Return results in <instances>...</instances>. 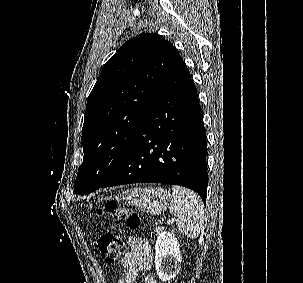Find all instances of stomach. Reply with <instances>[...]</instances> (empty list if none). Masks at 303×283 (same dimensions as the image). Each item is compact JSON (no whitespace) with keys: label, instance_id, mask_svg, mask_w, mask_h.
Returning <instances> with one entry per match:
<instances>
[{"label":"stomach","instance_id":"stomach-1","mask_svg":"<svg viewBox=\"0 0 303 283\" xmlns=\"http://www.w3.org/2000/svg\"><path fill=\"white\" fill-rule=\"evenodd\" d=\"M170 194L167 190L154 188H139L125 192L120 196V200L152 215L163 212L170 201Z\"/></svg>","mask_w":303,"mask_h":283}]
</instances>
